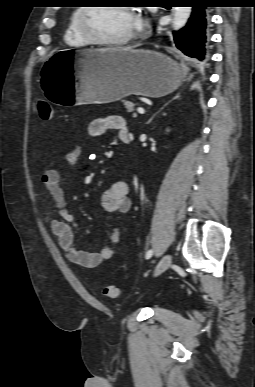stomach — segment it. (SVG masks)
<instances>
[{
  "label": "stomach",
  "mask_w": 255,
  "mask_h": 387,
  "mask_svg": "<svg viewBox=\"0 0 255 387\" xmlns=\"http://www.w3.org/2000/svg\"><path fill=\"white\" fill-rule=\"evenodd\" d=\"M43 95L59 108H88L131 94L161 97L181 82L180 66L164 54L143 50H58L41 70Z\"/></svg>",
  "instance_id": "stomach-1"
}]
</instances>
